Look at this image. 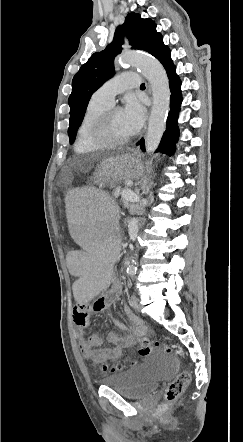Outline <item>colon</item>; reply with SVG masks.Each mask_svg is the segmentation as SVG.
I'll return each mask as SVG.
<instances>
[{
  "label": "colon",
  "instance_id": "1",
  "mask_svg": "<svg viewBox=\"0 0 243 442\" xmlns=\"http://www.w3.org/2000/svg\"><path fill=\"white\" fill-rule=\"evenodd\" d=\"M120 221L125 222L128 219L127 214L122 213L119 216ZM128 227H136V224H128ZM138 229L143 230L147 228V223L140 221L137 224ZM159 343H155L152 340H150L147 337H143L140 340V347L138 349V355L140 357H147L151 354L154 347L159 346ZM162 347L166 353L169 354H175L178 355V353L174 350V348L168 344H162ZM130 360V358H128ZM109 364L113 365L111 368H108L107 366H103V371H120L124 368V365L120 363V359L118 358H111L109 359ZM191 380L190 373L188 371H181L176 378L168 385L166 392H165V398L168 402H172L177 400L180 395L183 393L185 388L189 385Z\"/></svg>",
  "mask_w": 243,
  "mask_h": 442
}]
</instances>
